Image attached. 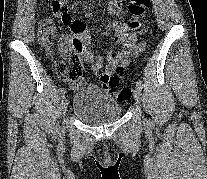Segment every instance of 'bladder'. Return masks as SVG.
<instances>
[{"mask_svg":"<svg viewBox=\"0 0 207 179\" xmlns=\"http://www.w3.org/2000/svg\"><path fill=\"white\" fill-rule=\"evenodd\" d=\"M72 111L83 122L98 126L118 120L122 107L108 90L88 84L74 95Z\"/></svg>","mask_w":207,"mask_h":179,"instance_id":"bladder-1","label":"bladder"}]
</instances>
